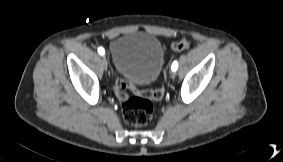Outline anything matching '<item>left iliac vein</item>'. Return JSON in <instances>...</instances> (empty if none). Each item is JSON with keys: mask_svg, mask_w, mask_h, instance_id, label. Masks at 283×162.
<instances>
[{"mask_svg": "<svg viewBox=\"0 0 283 162\" xmlns=\"http://www.w3.org/2000/svg\"><path fill=\"white\" fill-rule=\"evenodd\" d=\"M176 75L175 71L172 72V78H174Z\"/></svg>", "mask_w": 283, "mask_h": 162, "instance_id": "4c4485c4", "label": "left iliac vein"}]
</instances>
